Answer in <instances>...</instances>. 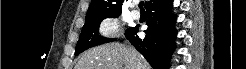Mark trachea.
Segmentation results:
<instances>
[{
    "label": "trachea",
    "mask_w": 246,
    "mask_h": 69,
    "mask_svg": "<svg viewBox=\"0 0 246 69\" xmlns=\"http://www.w3.org/2000/svg\"><path fill=\"white\" fill-rule=\"evenodd\" d=\"M143 7H144V2L141 1V2L139 3V8L141 9V11H145Z\"/></svg>",
    "instance_id": "trachea-1"
}]
</instances>
